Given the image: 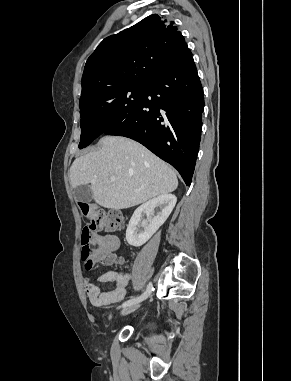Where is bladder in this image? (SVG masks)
I'll use <instances>...</instances> for the list:
<instances>
[{"mask_svg": "<svg viewBox=\"0 0 291 381\" xmlns=\"http://www.w3.org/2000/svg\"><path fill=\"white\" fill-rule=\"evenodd\" d=\"M139 329L142 331H146V330H149V326L145 321H143L139 324Z\"/></svg>", "mask_w": 291, "mask_h": 381, "instance_id": "31cf9c89", "label": "bladder"}]
</instances>
